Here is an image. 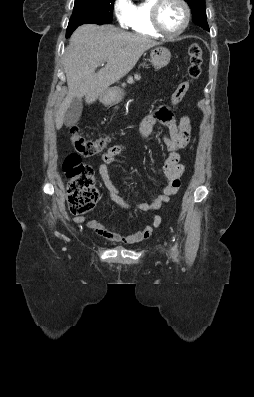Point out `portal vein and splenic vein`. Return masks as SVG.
Instances as JSON below:
<instances>
[{
	"label": "portal vein and splenic vein",
	"instance_id": "18ae733b",
	"mask_svg": "<svg viewBox=\"0 0 254 397\" xmlns=\"http://www.w3.org/2000/svg\"><path fill=\"white\" fill-rule=\"evenodd\" d=\"M104 65H105L104 63L101 64V66H104Z\"/></svg>",
	"mask_w": 254,
	"mask_h": 397
}]
</instances>
